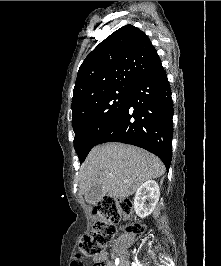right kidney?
Segmentation results:
<instances>
[{
    "label": "right kidney",
    "instance_id": "1",
    "mask_svg": "<svg viewBox=\"0 0 221 266\" xmlns=\"http://www.w3.org/2000/svg\"><path fill=\"white\" fill-rule=\"evenodd\" d=\"M160 196L156 181L149 180L143 183L136 191L134 209L136 214L144 218L152 213Z\"/></svg>",
    "mask_w": 221,
    "mask_h": 266
}]
</instances>
